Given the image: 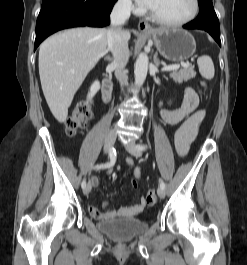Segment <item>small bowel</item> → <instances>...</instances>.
I'll return each mask as SVG.
<instances>
[{
  "label": "small bowel",
  "instance_id": "obj_1",
  "mask_svg": "<svg viewBox=\"0 0 247 265\" xmlns=\"http://www.w3.org/2000/svg\"><path fill=\"white\" fill-rule=\"evenodd\" d=\"M199 96L191 87H187L184 90V96L182 104L176 109H162V120L168 125H177L175 132L176 136V150L180 156H185L188 153L191 143L196 138L199 128L204 121L205 111L198 109ZM128 164L133 165L132 159H128ZM141 168L135 169V178L140 180ZM91 183L93 186H97V178H92ZM136 184V182H134ZM114 202L106 201L105 210L100 211L97 208L89 205V213L98 220H107L116 217H131L141 213L146 207L144 198H141L136 204L129 206H117L112 208Z\"/></svg>",
  "mask_w": 247,
  "mask_h": 265
}]
</instances>
